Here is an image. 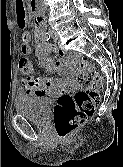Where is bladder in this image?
I'll return each instance as SVG.
<instances>
[{"label": "bladder", "instance_id": "obj_1", "mask_svg": "<svg viewBox=\"0 0 123 167\" xmlns=\"http://www.w3.org/2000/svg\"><path fill=\"white\" fill-rule=\"evenodd\" d=\"M52 99L44 96L19 95L15 108L20 116L36 124H45L52 109Z\"/></svg>", "mask_w": 123, "mask_h": 167}]
</instances>
